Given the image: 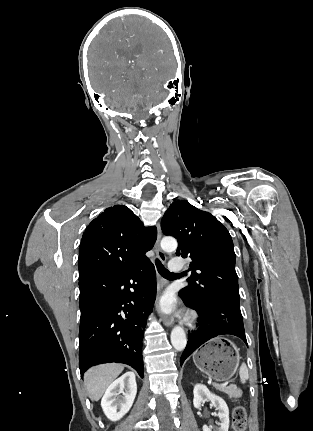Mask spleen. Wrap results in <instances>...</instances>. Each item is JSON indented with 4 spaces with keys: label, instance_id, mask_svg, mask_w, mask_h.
<instances>
[{
    "label": "spleen",
    "instance_id": "3e777b00",
    "mask_svg": "<svg viewBox=\"0 0 313 431\" xmlns=\"http://www.w3.org/2000/svg\"><path fill=\"white\" fill-rule=\"evenodd\" d=\"M240 380L245 383L249 378L248 368L245 363H242L239 369Z\"/></svg>",
    "mask_w": 313,
    "mask_h": 431
}]
</instances>
